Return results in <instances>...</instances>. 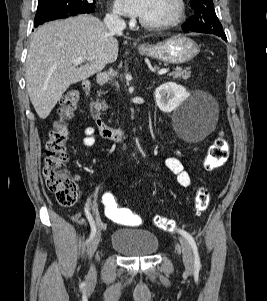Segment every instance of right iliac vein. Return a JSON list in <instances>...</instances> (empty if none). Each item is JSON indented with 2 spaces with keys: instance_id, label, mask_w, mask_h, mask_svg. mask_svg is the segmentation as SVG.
I'll return each instance as SVG.
<instances>
[{
  "instance_id": "63e3f726",
  "label": "right iliac vein",
  "mask_w": 267,
  "mask_h": 301,
  "mask_svg": "<svg viewBox=\"0 0 267 301\" xmlns=\"http://www.w3.org/2000/svg\"><path fill=\"white\" fill-rule=\"evenodd\" d=\"M100 237H101V233L100 230L98 229V231L95 233V235L93 236L89 247H88V255L91 258L94 253L96 252L99 242H100ZM96 278V269L94 267V265H91L89 272H88V280L89 282L94 281Z\"/></svg>"
}]
</instances>
